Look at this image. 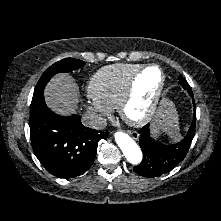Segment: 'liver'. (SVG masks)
<instances>
[{"label": "liver", "instance_id": "1", "mask_svg": "<svg viewBox=\"0 0 221 221\" xmlns=\"http://www.w3.org/2000/svg\"><path fill=\"white\" fill-rule=\"evenodd\" d=\"M48 107L60 115H70L75 112L79 102L78 86L69 74L60 73L51 78L44 90ZM159 114L170 131L178 127V114L172 102L164 101Z\"/></svg>", "mask_w": 221, "mask_h": 221}]
</instances>
